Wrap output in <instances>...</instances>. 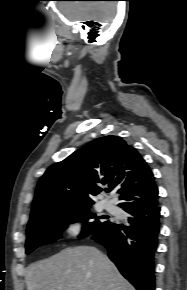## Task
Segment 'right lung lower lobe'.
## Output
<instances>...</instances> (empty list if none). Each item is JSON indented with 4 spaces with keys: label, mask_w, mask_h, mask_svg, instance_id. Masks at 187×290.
<instances>
[{
    "label": "right lung lower lobe",
    "mask_w": 187,
    "mask_h": 290,
    "mask_svg": "<svg viewBox=\"0 0 187 290\" xmlns=\"http://www.w3.org/2000/svg\"><path fill=\"white\" fill-rule=\"evenodd\" d=\"M130 226L111 222L93 234L109 258L137 290H155V254L160 233V207L151 205L124 209Z\"/></svg>",
    "instance_id": "obj_1"
}]
</instances>
